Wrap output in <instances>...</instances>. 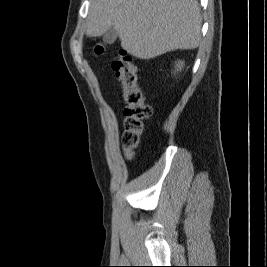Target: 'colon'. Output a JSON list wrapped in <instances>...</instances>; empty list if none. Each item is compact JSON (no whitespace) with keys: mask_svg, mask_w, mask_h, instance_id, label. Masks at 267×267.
<instances>
[{"mask_svg":"<svg viewBox=\"0 0 267 267\" xmlns=\"http://www.w3.org/2000/svg\"><path fill=\"white\" fill-rule=\"evenodd\" d=\"M105 46L98 43L94 52L100 55ZM112 69L122 85V98L124 102V132L122 144L127 158H132L139 146L144 130V122L152 115V108L145 103L138 81V69L132 57L124 50L114 58Z\"/></svg>","mask_w":267,"mask_h":267,"instance_id":"5ec220e1","label":"colon"}]
</instances>
